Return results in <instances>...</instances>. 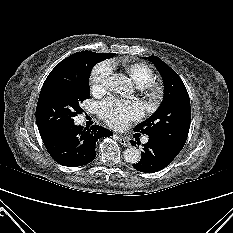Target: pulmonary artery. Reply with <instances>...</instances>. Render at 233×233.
I'll list each match as a JSON object with an SVG mask.
<instances>
[{
    "label": "pulmonary artery",
    "mask_w": 233,
    "mask_h": 233,
    "mask_svg": "<svg viewBox=\"0 0 233 233\" xmlns=\"http://www.w3.org/2000/svg\"><path fill=\"white\" fill-rule=\"evenodd\" d=\"M143 143H147L148 142V137H144L142 140Z\"/></svg>",
    "instance_id": "pulmonary-artery-1"
}]
</instances>
